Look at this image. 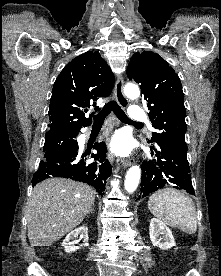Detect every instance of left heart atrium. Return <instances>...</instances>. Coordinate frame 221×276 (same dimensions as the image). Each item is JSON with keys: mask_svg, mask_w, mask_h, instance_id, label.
<instances>
[{"mask_svg": "<svg viewBox=\"0 0 221 276\" xmlns=\"http://www.w3.org/2000/svg\"><path fill=\"white\" fill-rule=\"evenodd\" d=\"M111 149L118 155H127L131 151V143L127 136L123 134L116 135L111 142Z\"/></svg>", "mask_w": 221, "mask_h": 276, "instance_id": "left-heart-atrium-1", "label": "left heart atrium"}]
</instances>
